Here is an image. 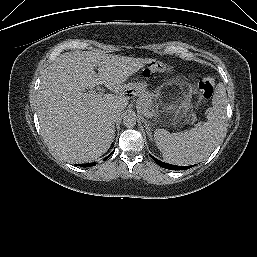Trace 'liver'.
Wrapping results in <instances>:
<instances>
[{
	"label": "liver",
	"mask_w": 257,
	"mask_h": 257,
	"mask_svg": "<svg viewBox=\"0 0 257 257\" xmlns=\"http://www.w3.org/2000/svg\"><path fill=\"white\" fill-rule=\"evenodd\" d=\"M152 61L99 51L65 52L57 57L45 70L37 96L42 136L51 151L69 163H85L106 153L115 134L109 115L121 114L128 105L129 85L124 83ZM102 84L115 94L84 99L86 89Z\"/></svg>",
	"instance_id": "1"
}]
</instances>
